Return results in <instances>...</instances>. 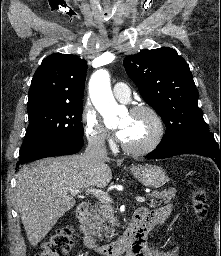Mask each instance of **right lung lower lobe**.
<instances>
[{
    "label": "right lung lower lobe",
    "mask_w": 221,
    "mask_h": 256,
    "mask_svg": "<svg viewBox=\"0 0 221 256\" xmlns=\"http://www.w3.org/2000/svg\"><path fill=\"white\" fill-rule=\"evenodd\" d=\"M82 146V137L51 139L20 154V160L16 167H19L20 164L46 157L74 154L79 152Z\"/></svg>",
    "instance_id": "right-lung-lower-lobe-1"
}]
</instances>
